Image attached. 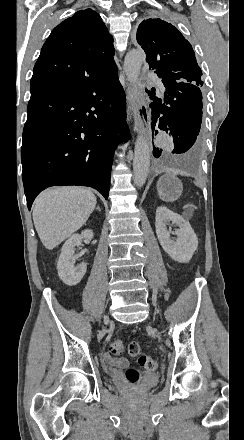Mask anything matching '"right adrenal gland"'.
Returning a JSON list of instances; mask_svg holds the SVG:
<instances>
[{
  "mask_svg": "<svg viewBox=\"0 0 244 440\" xmlns=\"http://www.w3.org/2000/svg\"><path fill=\"white\" fill-rule=\"evenodd\" d=\"M96 210H99V212H101V210H100V206H97Z\"/></svg>",
  "mask_w": 244,
  "mask_h": 440,
  "instance_id": "obj_1",
  "label": "right adrenal gland"
}]
</instances>
